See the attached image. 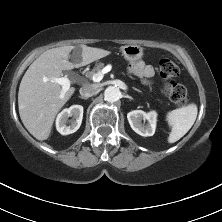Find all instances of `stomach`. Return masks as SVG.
I'll return each mask as SVG.
<instances>
[{
  "label": "stomach",
  "instance_id": "1",
  "mask_svg": "<svg viewBox=\"0 0 222 222\" xmlns=\"http://www.w3.org/2000/svg\"><path fill=\"white\" fill-rule=\"evenodd\" d=\"M121 52L124 58L129 62H135L143 56V48L139 45H125L121 47Z\"/></svg>",
  "mask_w": 222,
  "mask_h": 222
}]
</instances>
